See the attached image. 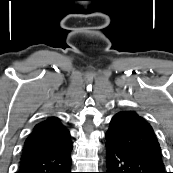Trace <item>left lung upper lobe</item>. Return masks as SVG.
<instances>
[{
    "label": "left lung upper lobe",
    "mask_w": 173,
    "mask_h": 173,
    "mask_svg": "<svg viewBox=\"0 0 173 173\" xmlns=\"http://www.w3.org/2000/svg\"><path fill=\"white\" fill-rule=\"evenodd\" d=\"M107 144L162 162L161 148L148 122L134 111L117 113L106 132Z\"/></svg>",
    "instance_id": "1"
}]
</instances>
